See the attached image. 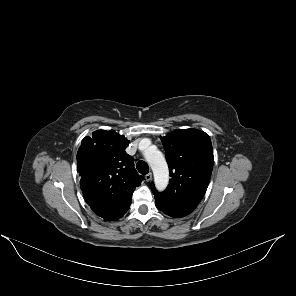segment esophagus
Segmentation results:
<instances>
[{"instance_id": "34e87169", "label": "esophagus", "mask_w": 296, "mask_h": 296, "mask_svg": "<svg viewBox=\"0 0 296 296\" xmlns=\"http://www.w3.org/2000/svg\"><path fill=\"white\" fill-rule=\"evenodd\" d=\"M145 179H146L147 182H149L152 179V173L146 174Z\"/></svg>"}]
</instances>
